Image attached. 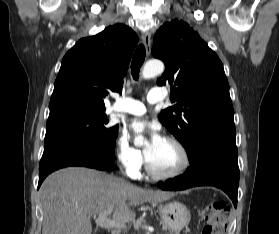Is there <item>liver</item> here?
I'll return each instance as SVG.
<instances>
[{
    "mask_svg": "<svg viewBox=\"0 0 279 234\" xmlns=\"http://www.w3.org/2000/svg\"><path fill=\"white\" fill-rule=\"evenodd\" d=\"M42 234H91L90 215L111 210L115 221L135 219L133 208L145 202H162L173 194L136 187L106 173L80 167L49 175L40 191Z\"/></svg>",
    "mask_w": 279,
    "mask_h": 234,
    "instance_id": "6515ba94",
    "label": "liver"
}]
</instances>
